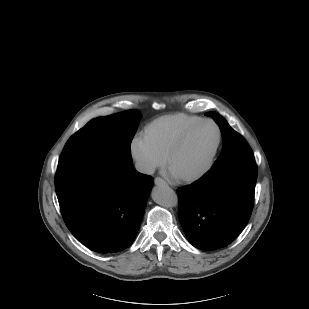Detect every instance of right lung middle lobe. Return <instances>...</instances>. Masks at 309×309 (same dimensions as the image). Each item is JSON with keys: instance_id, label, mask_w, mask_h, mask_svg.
Returning <instances> with one entry per match:
<instances>
[{"instance_id": "1", "label": "right lung middle lobe", "mask_w": 309, "mask_h": 309, "mask_svg": "<svg viewBox=\"0 0 309 309\" xmlns=\"http://www.w3.org/2000/svg\"><path fill=\"white\" fill-rule=\"evenodd\" d=\"M140 118L137 110H128L91 120L68 141L58 162L56 179L91 155L102 153L131 159L130 144Z\"/></svg>"}]
</instances>
